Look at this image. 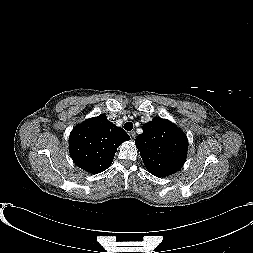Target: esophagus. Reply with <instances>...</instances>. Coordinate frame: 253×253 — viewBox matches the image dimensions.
Listing matches in <instances>:
<instances>
[{
	"label": "esophagus",
	"instance_id": "34e87169",
	"mask_svg": "<svg viewBox=\"0 0 253 253\" xmlns=\"http://www.w3.org/2000/svg\"><path fill=\"white\" fill-rule=\"evenodd\" d=\"M129 135H130L131 139H134L136 136V133H135V131H131V132H129Z\"/></svg>",
	"mask_w": 253,
	"mask_h": 253
}]
</instances>
